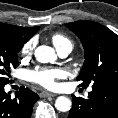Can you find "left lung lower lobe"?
<instances>
[{
  "label": "left lung lower lobe",
  "instance_id": "left-lung-lower-lobe-1",
  "mask_svg": "<svg viewBox=\"0 0 118 118\" xmlns=\"http://www.w3.org/2000/svg\"><path fill=\"white\" fill-rule=\"evenodd\" d=\"M67 118H118V88H93L87 99L72 95Z\"/></svg>",
  "mask_w": 118,
  "mask_h": 118
}]
</instances>
